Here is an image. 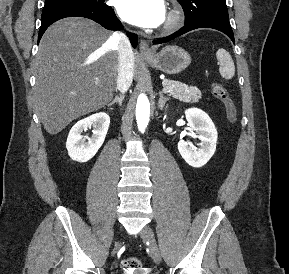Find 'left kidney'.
I'll use <instances>...</instances> for the list:
<instances>
[{
  "label": "left kidney",
  "instance_id": "left-kidney-1",
  "mask_svg": "<svg viewBox=\"0 0 289 274\" xmlns=\"http://www.w3.org/2000/svg\"><path fill=\"white\" fill-rule=\"evenodd\" d=\"M185 116L190 128L195 131L200 140V148L193 149L189 143L181 140L178 150L183 159L192 167L204 166L216 150L218 133L210 117L202 110L190 108L185 111Z\"/></svg>",
  "mask_w": 289,
  "mask_h": 274
}]
</instances>
